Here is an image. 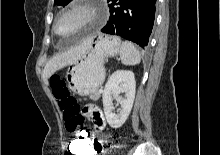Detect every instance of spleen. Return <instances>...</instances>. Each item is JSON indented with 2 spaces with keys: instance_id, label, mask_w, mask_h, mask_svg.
Instances as JSON below:
<instances>
[{
  "instance_id": "spleen-1",
  "label": "spleen",
  "mask_w": 220,
  "mask_h": 155,
  "mask_svg": "<svg viewBox=\"0 0 220 155\" xmlns=\"http://www.w3.org/2000/svg\"><path fill=\"white\" fill-rule=\"evenodd\" d=\"M120 58L122 64L126 66H133L139 64L141 61L140 53L129 41L122 42L120 49Z\"/></svg>"
}]
</instances>
